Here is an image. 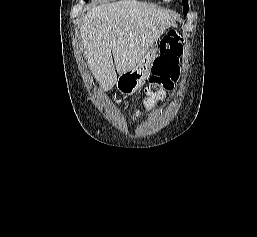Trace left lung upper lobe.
I'll return each mask as SVG.
<instances>
[{"label": "left lung upper lobe", "instance_id": "5c2ea615", "mask_svg": "<svg viewBox=\"0 0 257 237\" xmlns=\"http://www.w3.org/2000/svg\"><path fill=\"white\" fill-rule=\"evenodd\" d=\"M182 2H183V13L184 15H186L189 10L188 0H182Z\"/></svg>", "mask_w": 257, "mask_h": 237}]
</instances>
